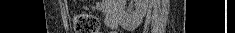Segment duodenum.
<instances>
[{"instance_id": "410a0bca", "label": "duodenum", "mask_w": 235, "mask_h": 33, "mask_svg": "<svg viewBox=\"0 0 235 33\" xmlns=\"http://www.w3.org/2000/svg\"><path fill=\"white\" fill-rule=\"evenodd\" d=\"M99 4L103 5L104 7L106 13V19H105L106 25L111 29L116 28L118 25L117 4L114 1H102Z\"/></svg>"}]
</instances>
